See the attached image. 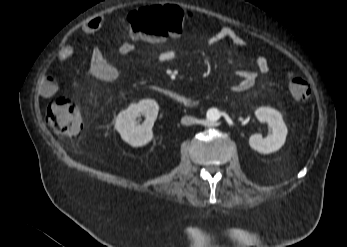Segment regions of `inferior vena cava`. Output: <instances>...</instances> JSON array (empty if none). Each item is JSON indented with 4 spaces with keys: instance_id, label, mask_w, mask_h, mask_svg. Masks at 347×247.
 <instances>
[{
    "instance_id": "1",
    "label": "inferior vena cava",
    "mask_w": 347,
    "mask_h": 247,
    "mask_svg": "<svg viewBox=\"0 0 347 247\" xmlns=\"http://www.w3.org/2000/svg\"><path fill=\"white\" fill-rule=\"evenodd\" d=\"M181 123L184 125H192L196 123V119L194 117L191 116H184L181 119Z\"/></svg>"
}]
</instances>
